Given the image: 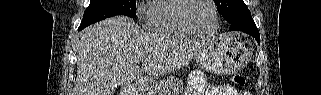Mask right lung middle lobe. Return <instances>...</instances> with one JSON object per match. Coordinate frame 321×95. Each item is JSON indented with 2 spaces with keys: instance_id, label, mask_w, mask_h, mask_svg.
<instances>
[{
  "instance_id": "1",
  "label": "right lung middle lobe",
  "mask_w": 321,
  "mask_h": 95,
  "mask_svg": "<svg viewBox=\"0 0 321 95\" xmlns=\"http://www.w3.org/2000/svg\"><path fill=\"white\" fill-rule=\"evenodd\" d=\"M126 15L136 17L135 0H91L86 8L79 30L108 17Z\"/></svg>"
}]
</instances>
